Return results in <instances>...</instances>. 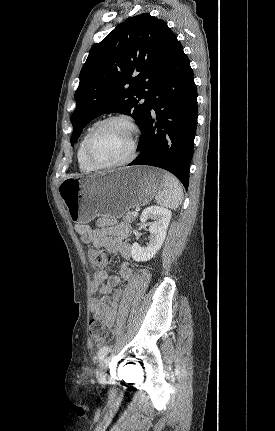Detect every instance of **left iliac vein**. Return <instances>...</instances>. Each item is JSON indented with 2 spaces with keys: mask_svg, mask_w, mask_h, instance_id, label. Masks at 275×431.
Returning <instances> with one entry per match:
<instances>
[{
  "mask_svg": "<svg viewBox=\"0 0 275 431\" xmlns=\"http://www.w3.org/2000/svg\"><path fill=\"white\" fill-rule=\"evenodd\" d=\"M107 365H108V360L103 359L97 368L96 376H97V379L99 380V382H104L106 379Z\"/></svg>",
  "mask_w": 275,
  "mask_h": 431,
  "instance_id": "1",
  "label": "left iliac vein"
}]
</instances>
